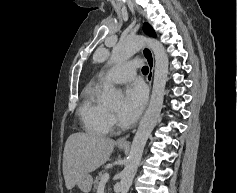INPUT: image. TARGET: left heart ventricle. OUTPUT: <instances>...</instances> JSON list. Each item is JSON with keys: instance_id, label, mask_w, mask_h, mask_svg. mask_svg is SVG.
Masks as SVG:
<instances>
[{"instance_id": "obj_1", "label": "left heart ventricle", "mask_w": 237, "mask_h": 193, "mask_svg": "<svg viewBox=\"0 0 237 193\" xmlns=\"http://www.w3.org/2000/svg\"><path fill=\"white\" fill-rule=\"evenodd\" d=\"M118 110H119V106H114V107L110 108V111H112L114 113L118 112Z\"/></svg>"}]
</instances>
